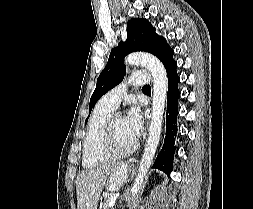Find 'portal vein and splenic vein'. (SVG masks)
<instances>
[{"label":"portal vein and splenic vein","mask_w":253,"mask_h":209,"mask_svg":"<svg viewBox=\"0 0 253 209\" xmlns=\"http://www.w3.org/2000/svg\"><path fill=\"white\" fill-rule=\"evenodd\" d=\"M119 196V193H116V194H113L111 197H110V201H109V205L110 206H113L117 200Z\"/></svg>","instance_id":"obj_1"}]
</instances>
